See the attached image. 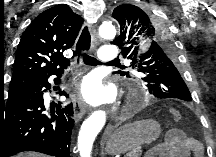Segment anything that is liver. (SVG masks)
I'll use <instances>...</instances> for the list:
<instances>
[{"mask_svg":"<svg viewBox=\"0 0 216 157\" xmlns=\"http://www.w3.org/2000/svg\"><path fill=\"white\" fill-rule=\"evenodd\" d=\"M17 157H44V155L41 153L27 152V153H20L17 155Z\"/></svg>","mask_w":216,"mask_h":157,"instance_id":"obj_1","label":"liver"}]
</instances>
